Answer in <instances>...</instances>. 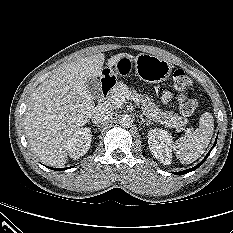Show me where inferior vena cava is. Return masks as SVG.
Listing matches in <instances>:
<instances>
[{
    "label": "inferior vena cava",
    "mask_w": 233,
    "mask_h": 233,
    "mask_svg": "<svg viewBox=\"0 0 233 233\" xmlns=\"http://www.w3.org/2000/svg\"><path fill=\"white\" fill-rule=\"evenodd\" d=\"M113 116V110L107 104H99L92 115L94 124H102Z\"/></svg>",
    "instance_id": "602c4592"
}]
</instances>
